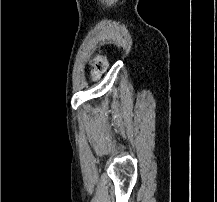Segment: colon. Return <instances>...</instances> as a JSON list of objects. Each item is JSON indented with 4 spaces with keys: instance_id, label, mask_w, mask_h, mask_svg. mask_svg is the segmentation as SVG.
I'll return each instance as SVG.
<instances>
[{
    "instance_id": "5ec220e1",
    "label": "colon",
    "mask_w": 217,
    "mask_h": 202,
    "mask_svg": "<svg viewBox=\"0 0 217 202\" xmlns=\"http://www.w3.org/2000/svg\"><path fill=\"white\" fill-rule=\"evenodd\" d=\"M108 69V60L105 51H97L93 54L90 63L89 70L90 76L94 81L100 79L102 74Z\"/></svg>"
}]
</instances>
